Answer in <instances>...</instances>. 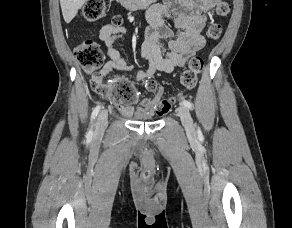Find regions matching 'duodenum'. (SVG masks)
Segmentation results:
<instances>
[{"instance_id":"1","label":"duodenum","mask_w":292,"mask_h":228,"mask_svg":"<svg viewBox=\"0 0 292 228\" xmlns=\"http://www.w3.org/2000/svg\"><path fill=\"white\" fill-rule=\"evenodd\" d=\"M122 6L128 10L146 8L154 5L156 0H119Z\"/></svg>"}]
</instances>
